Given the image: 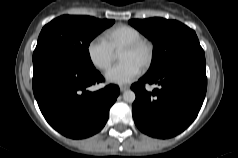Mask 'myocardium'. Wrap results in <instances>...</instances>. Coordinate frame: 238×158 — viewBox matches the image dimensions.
I'll list each match as a JSON object with an SVG mask.
<instances>
[{"mask_svg":"<svg viewBox=\"0 0 238 158\" xmlns=\"http://www.w3.org/2000/svg\"><path fill=\"white\" fill-rule=\"evenodd\" d=\"M140 48H145L147 50V56L146 59L144 60L141 68L142 69H147L151 66L153 59H154V46L151 41L141 38L138 40H135L127 45H125L121 51L126 50V51H135Z\"/></svg>","mask_w":238,"mask_h":158,"instance_id":"1","label":"myocardium"}]
</instances>
